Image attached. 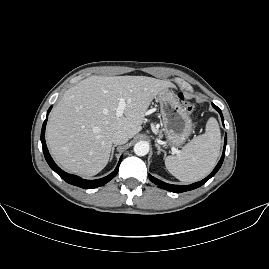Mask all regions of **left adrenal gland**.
Segmentation results:
<instances>
[{
	"instance_id": "1",
	"label": "left adrenal gland",
	"mask_w": 269,
	"mask_h": 269,
	"mask_svg": "<svg viewBox=\"0 0 269 269\" xmlns=\"http://www.w3.org/2000/svg\"><path fill=\"white\" fill-rule=\"evenodd\" d=\"M155 146L158 150L157 155H160L161 153H163V155H164L163 159H165L166 153L163 150H161L160 146L156 142H155Z\"/></svg>"
}]
</instances>
